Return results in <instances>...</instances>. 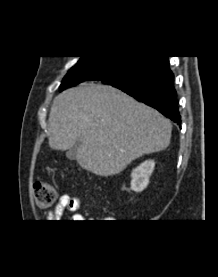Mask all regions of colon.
Returning <instances> with one entry per match:
<instances>
[{
  "instance_id": "5ec220e1",
  "label": "colon",
  "mask_w": 218,
  "mask_h": 277,
  "mask_svg": "<svg viewBox=\"0 0 218 277\" xmlns=\"http://www.w3.org/2000/svg\"><path fill=\"white\" fill-rule=\"evenodd\" d=\"M34 197L40 208L50 207L57 198V189L49 182L38 181L34 184Z\"/></svg>"
}]
</instances>
